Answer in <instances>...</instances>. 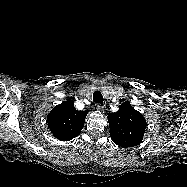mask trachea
I'll use <instances>...</instances> for the list:
<instances>
[{
  "label": "trachea",
  "mask_w": 187,
  "mask_h": 187,
  "mask_svg": "<svg viewBox=\"0 0 187 187\" xmlns=\"http://www.w3.org/2000/svg\"><path fill=\"white\" fill-rule=\"evenodd\" d=\"M93 101L95 103H98V104H102L103 103L104 99H103V95H102V93L100 91H95L93 93Z\"/></svg>",
  "instance_id": "trachea-1"
}]
</instances>
